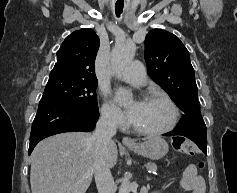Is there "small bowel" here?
I'll list each match as a JSON object with an SVG mask.
<instances>
[{
    "label": "small bowel",
    "mask_w": 237,
    "mask_h": 193,
    "mask_svg": "<svg viewBox=\"0 0 237 193\" xmlns=\"http://www.w3.org/2000/svg\"><path fill=\"white\" fill-rule=\"evenodd\" d=\"M179 187L188 193H205V184L201 176L197 174L196 168L193 164L188 165L180 180L178 181ZM142 193H147L143 190Z\"/></svg>",
    "instance_id": "1"
}]
</instances>
